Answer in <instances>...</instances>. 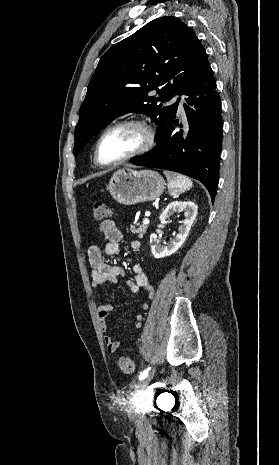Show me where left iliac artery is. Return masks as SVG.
Segmentation results:
<instances>
[{
    "instance_id": "1",
    "label": "left iliac artery",
    "mask_w": 279,
    "mask_h": 465,
    "mask_svg": "<svg viewBox=\"0 0 279 465\" xmlns=\"http://www.w3.org/2000/svg\"><path fill=\"white\" fill-rule=\"evenodd\" d=\"M149 370H150V367L147 368V369H145V370L141 373V375L139 376V380L144 379V378L148 375Z\"/></svg>"
}]
</instances>
